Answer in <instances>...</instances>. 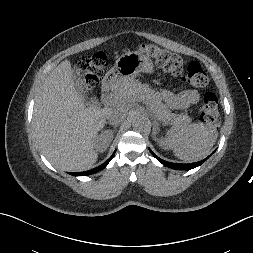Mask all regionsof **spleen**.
Masks as SVG:
<instances>
[{"label":"spleen","mask_w":253,"mask_h":253,"mask_svg":"<svg viewBox=\"0 0 253 253\" xmlns=\"http://www.w3.org/2000/svg\"><path fill=\"white\" fill-rule=\"evenodd\" d=\"M215 125L193 123L172 127L166 133V140L176 157L191 162L209 153L217 140Z\"/></svg>","instance_id":"spleen-1"}]
</instances>
